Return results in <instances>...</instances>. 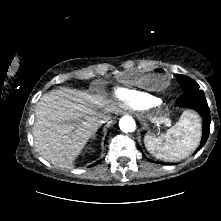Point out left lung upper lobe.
<instances>
[{
    "label": "left lung upper lobe",
    "mask_w": 221,
    "mask_h": 221,
    "mask_svg": "<svg viewBox=\"0 0 221 221\" xmlns=\"http://www.w3.org/2000/svg\"><path fill=\"white\" fill-rule=\"evenodd\" d=\"M176 78L183 88V92H191L199 89V85L188 76L176 74Z\"/></svg>",
    "instance_id": "1"
}]
</instances>
